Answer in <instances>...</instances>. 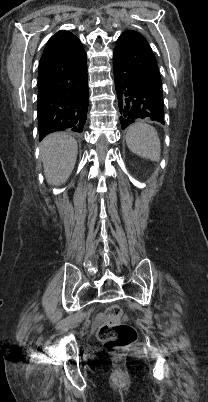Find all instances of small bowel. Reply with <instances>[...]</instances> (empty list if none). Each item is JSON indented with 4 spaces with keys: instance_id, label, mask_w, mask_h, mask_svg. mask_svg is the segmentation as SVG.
Returning <instances> with one entry per match:
<instances>
[{
    "instance_id": "c3829d8e",
    "label": "small bowel",
    "mask_w": 208,
    "mask_h": 402,
    "mask_svg": "<svg viewBox=\"0 0 208 402\" xmlns=\"http://www.w3.org/2000/svg\"><path fill=\"white\" fill-rule=\"evenodd\" d=\"M94 321H95L96 323H100V322L102 321V318H101L100 316H96V317L94 318Z\"/></svg>"
}]
</instances>
